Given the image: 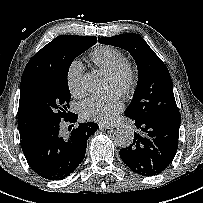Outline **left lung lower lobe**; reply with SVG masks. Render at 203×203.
Listing matches in <instances>:
<instances>
[{
	"label": "left lung lower lobe",
	"instance_id": "0a47b994",
	"mask_svg": "<svg viewBox=\"0 0 203 203\" xmlns=\"http://www.w3.org/2000/svg\"><path fill=\"white\" fill-rule=\"evenodd\" d=\"M132 144L120 150L123 162L135 173L153 176L172 162L178 147L180 119L132 118Z\"/></svg>",
	"mask_w": 203,
	"mask_h": 203
}]
</instances>
